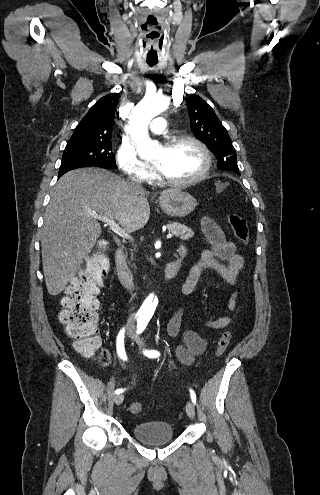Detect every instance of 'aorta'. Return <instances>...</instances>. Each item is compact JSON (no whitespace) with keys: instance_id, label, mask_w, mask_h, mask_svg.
Here are the masks:
<instances>
[{"instance_id":"1","label":"aorta","mask_w":320,"mask_h":495,"mask_svg":"<svg viewBox=\"0 0 320 495\" xmlns=\"http://www.w3.org/2000/svg\"><path fill=\"white\" fill-rule=\"evenodd\" d=\"M170 105L167 97L146 95L132 110L129 116L128 131L133 145L141 158H153L159 150V144L151 140L148 133L150 121L163 113ZM158 300L153 295L147 297L142 305L147 315H152Z\"/></svg>"}]
</instances>
